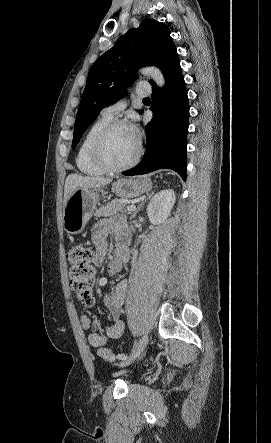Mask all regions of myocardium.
Instances as JSON below:
<instances>
[{
    "instance_id": "obj_1",
    "label": "myocardium",
    "mask_w": 271,
    "mask_h": 443,
    "mask_svg": "<svg viewBox=\"0 0 271 443\" xmlns=\"http://www.w3.org/2000/svg\"><path fill=\"white\" fill-rule=\"evenodd\" d=\"M120 126H125L131 128L136 136L137 148L134 155L124 164L122 165H113L107 158L105 153V146L108 137L112 133L114 129ZM142 139L136 129V127L126 119L115 118L110 120L98 133L96 139L92 145V157L94 161L105 171L107 172H122L125 171L132 166H134L141 157L142 154Z\"/></svg>"
}]
</instances>
